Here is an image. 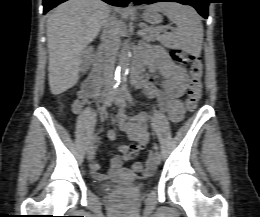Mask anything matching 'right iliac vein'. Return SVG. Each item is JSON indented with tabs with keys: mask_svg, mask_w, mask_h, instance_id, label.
<instances>
[{
	"mask_svg": "<svg viewBox=\"0 0 260 217\" xmlns=\"http://www.w3.org/2000/svg\"><path fill=\"white\" fill-rule=\"evenodd\" d=\"M107 97V96H106ZM95 155V149L94 146L91 145L87 151V159L88 161H92Z\"/></svg>",
	"mask_w": 260,
	"mask_h": 217,
	"instance_id": "1",
	"label": "right iliac vein"
}]
</instances>
